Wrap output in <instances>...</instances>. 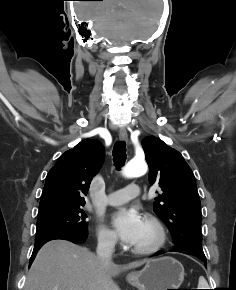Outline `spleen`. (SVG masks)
<instances>
[{
	"label": "spleen",
	"mask_w": 236,
	"mask_h": 290,
	"mask_svg": "<svg viewBox=\"0 0 236 290\" xmlns=\"http://www.w3.org/2000/svg\"><path fill=\"white\" fill-rule=\"evenodd\" d=\"M207 281L205 280V278L203 276L199 277V283H198V287L199 289H207Z\"/></svg>",
	"instance_id": "1"
}]
</instances>
